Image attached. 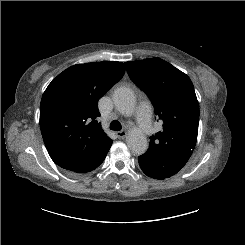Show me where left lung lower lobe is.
<instances>
[{"instance_id":"0a47b994","label":"left lung lower lobe","mask_w":245,"mask_h":245,"mask_svg":"<svg viewBox=\"0 0 245 245\" xmlns=\"http://www.w3.org/2000/svg\"><path fill=\"white\" fill-rule=\"evenodd\" d=\"M138 162L140 168L147 176L159 180L175 175L183 167L167 156L151 151L139 156Z\"/></svg>"}]
</instances>
